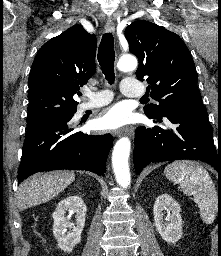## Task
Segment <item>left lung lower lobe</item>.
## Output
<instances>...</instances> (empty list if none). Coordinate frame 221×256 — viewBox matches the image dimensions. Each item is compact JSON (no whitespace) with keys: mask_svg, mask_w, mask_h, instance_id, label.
<instances>
[{"mask_svg":"<svg viewBox=\"0 0 221 256\" xmlns=\"http://www.w3.org/2000/svg\"><path fill=\"white\" fill-rule=\"evenodd\" d=\"M162 117L171 123L169 128L141 126L135 132L134 167L140 174L149 163L191 159L212 165L221 174V153L213 141V130L205 111L172 109L153 118L162 123Z\"/></svg>","mask_w":221,"mask_h":256,"instance_id":"0a47b994","label":"left lung lower lobe"}]
</instances>
